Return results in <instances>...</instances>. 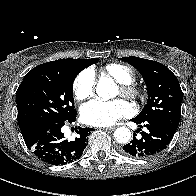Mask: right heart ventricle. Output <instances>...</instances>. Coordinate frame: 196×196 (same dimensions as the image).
Listing matches in <instances>:
<instances>
[{"mask_svg": "<svg viewBox=\"0 0 196 196\" xmlns=\"http://www.w3.org/2000/svg\"><path fill=\"white\" fill-rule=\"evenodd\" d=\"M103 73L121 84L132 83L135 80L134 71L130 67L119 63L106 65Z\"/></svg>", "mask_w": 196, "mask_h": 196, "instance_id": "1", "label": "right heart ventricle"}]
</instances>
